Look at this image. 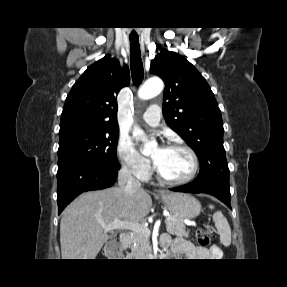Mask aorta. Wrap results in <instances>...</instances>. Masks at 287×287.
I'll list each match as a JSON object with an SVG mask.
<instances>
[{"instance_id":"1","label":"aorta","mask_w":287,"mask_h":287,"mask_svg":"<svg viewBox=\"0 0 287 287\" xmlns=\"http://www.w3.org/2000/svg\"><path fill=\"white\" fill-rule=\"evenodd\" d=\"M163 87H164L163 82L160 79L157 78L149 79L139 89L138 97L142 100L151 99L157 96L159 93H161ZM133 135L142 137L144 141V147L142 152L144 154L150 153L153 147L156 146V142L154 141L150 142L147 139H145L144 132L138 127H134Z\"/></svg>"}]
</instances>
